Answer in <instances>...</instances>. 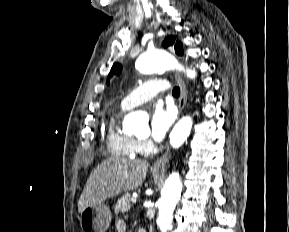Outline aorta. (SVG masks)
I'll use <instances>...</instances> for the list:
<instances>
[{"label": "aorta", "mask_w": 289, "mask_h": 232, "mask_svg": "<svg viewBox=\"0 0 289 232\" xmlns=\"http://www.w3.org/2000/svg\"><path fill=\"white\" fill-rule=\"evenodd\" d=\"M136 68L142 74L163 73L178 68L186 72L187 77L192 79L196 77L195 71L185 70L182 66L175 63L169 53L163 49H156L142 54L136 61ZM192 124V118L186 116L175 125L170 134L172 147L178 148L186 141L190 135ZM123 130L136 135L148 133V118L139 112L130 113L124 118ZM181 191L180 176L178 173L173 172L166 179L161 191V198L157 202L159 209L157 224L161 232H167L172 229L173 211L180 200Z\"/></svg>", "instance_id": "aorta-1"}]
</instances>
